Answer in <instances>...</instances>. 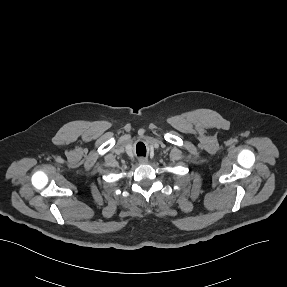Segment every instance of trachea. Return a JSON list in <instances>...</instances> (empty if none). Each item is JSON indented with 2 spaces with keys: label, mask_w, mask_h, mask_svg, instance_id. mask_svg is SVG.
<instances>
[{
  "label": "trachea",
  "mask_w": 287,
  "mask_h": 287,
  "mask_svg": "<svg viewBox=\"0 0 287 287\" xmlns=\"http://www.w3.org/2000/svg\"><path fill=\"white\" fill-rule=\"evenodd\" d=\"M137 155L138 156H145L146 155V148L143 144H138L136 147Z\"/></svg>",
  "instance_id": "1"
}]
</instances>
